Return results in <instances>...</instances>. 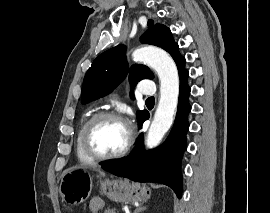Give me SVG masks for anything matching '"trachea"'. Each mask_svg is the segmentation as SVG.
Returning a JSON list of instances; mask_svg holds the SVG:
<instances>
[{
    "label": "trachea",
    "mask_w": 270,
    "mask_h": 213,
    "mask_svg": "<svg viewBox=\"0 0 270 213\" xmlns=\"http://www.w3.org/2000/svg\"><path fill=\"white\" fill-rule=\"evenodd\" d=\"M154 100H155L154 97H149V98H147L146 102H152Z\"/></svg>",
    "instance_id": "1"
}]
</instances>
